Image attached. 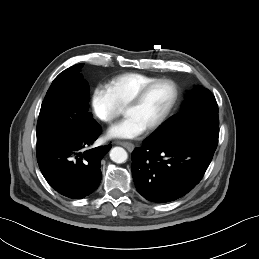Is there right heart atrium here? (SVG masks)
I'll use <instances>...</instances> for the list:
<instances>
[{
	"instance_id": "1",
	"label": "right heart atrium",
	"mask_w": 259,
	"mask_h": 259,
	"mask_svg": "<svg viewBox=\"0 0 259 259\" xmlns=\"http://www.w3.org/2000/svg\"><path fill=\"white\" fill-rule=\"evenodd\" d=\"M91 107L96 118L105 123L112 122L120 114L119 106L108 89L102 85L94 88L91 97Z\"/></svg>"
}]
</instances>
